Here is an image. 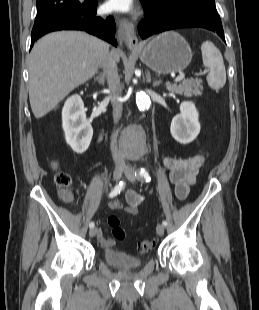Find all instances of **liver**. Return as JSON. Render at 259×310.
<instances>
[{
	"mask_svg": "<svg viewBox=\"0 0 259 310\" xmlns=\"http://www.w3.org/2000/svg\"><path fill=\"white\" fill-rule=\"evenodd\" d=\"M116 61L119 56L111 52ZM109 45L80 31L50 33L35 43L29 59V99L39 119L53 110L72 90L91 79Z\"/></svg>",
	"mask_w": 259,
	"mask_h": 310,
	"instance_id": "liver-1",
	"label": "liver"
}]
</instances>
